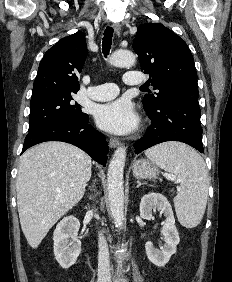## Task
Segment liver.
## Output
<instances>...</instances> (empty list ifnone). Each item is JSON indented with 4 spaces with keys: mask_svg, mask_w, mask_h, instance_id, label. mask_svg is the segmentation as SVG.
<instances>
[{
    "mask_svg": "<svg viewBox=\"0 0 232 282\" xmlns=\"http://www.w3.org/2000/svg\"><path fill=\"white\" fill-rule=\"evenodd\" d=\"M91 168L85 152L64 142H44L21 156L17 206L22 231L32 248L82 199Z\"/></svg>",
    "mask_w": 232,
    "mask_h": 282,
    "instance_id": "1",
    "label": "liver"
}]
</instances>
